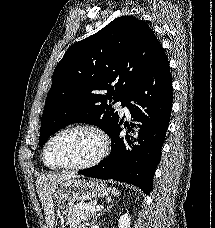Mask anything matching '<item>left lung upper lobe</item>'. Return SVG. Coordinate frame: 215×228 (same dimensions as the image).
<instances>
[{
	"mask_svg": "<svg viewBox=\"0 0 215 228\" xmlns=\"http://www.w3.org/2000/svg\"><path fill=\"white\" fill-rule=\"evenodd\" d=\"M162 49L147 23L132 16H121L70 46L53 73L39 146L76 122L97 125L111 136L119 115L108 103L123 105Z\"/></svg>",
	"mask_w": 215,
	"mask_h": 228,
	"instance_id": "5c2ea615",
	"label": "left lung upper lobe"
}]
</instances>
